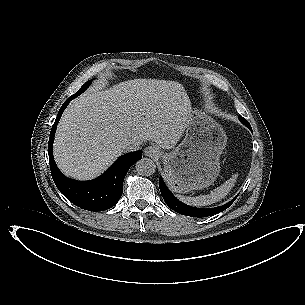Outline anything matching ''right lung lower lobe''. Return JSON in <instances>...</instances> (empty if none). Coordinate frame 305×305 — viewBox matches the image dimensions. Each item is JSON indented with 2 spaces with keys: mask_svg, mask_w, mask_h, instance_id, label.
<instances>
[{
  "mask_svg": "<svg viewBox=\"0 0 305 305\" xmlns=\"http://www.w3.org/2000/svg\"><path fill=\"white\" fill-rule=\"evenodd\" d=\"M74 97L70 96L62 105L52 126L48 155L51 174L59 191L76 206L88 211H103L113 207L123 192V180L129 168L142 157V151L120 156L101 176L90 181H76L65 177L53 158V140L60 117Z\"/></svg>",
  "mask_w": 305,
  "mask_h": 305,
  "instance_id": "right-lung-lower-lobe-1",
  "label": "right lung lower lobe"
}]
</instances>
